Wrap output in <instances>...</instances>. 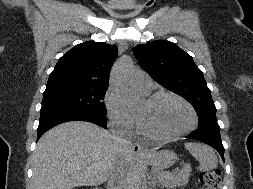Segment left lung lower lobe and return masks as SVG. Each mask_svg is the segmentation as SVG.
Segmentation results:
<instances>
[{"mask_svg": "<svg viewBox=\"0 0 253 189\" xmlns=\"http://www.w3.org/2000/svg\"><path fill=\"white\" fill-rule=\"evenodd\" d=\"M187 138L195 139L214 147L224 161V147L220 137V127H198Z\"/></svg>", "mask_w": 253, "mask_h": 189, "instance_id": "left-lung-lower-lobe-1", "label": "left lung lower lobe"}]
</instances>
